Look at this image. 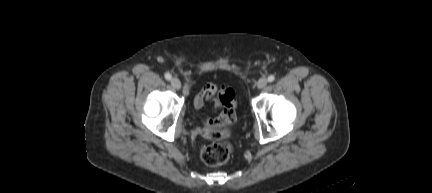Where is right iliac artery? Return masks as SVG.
Listing matches in <instances>:
<instances>
[{
	"mask_svg": "<svg viewBox=\"0 0 432 193\" xmlns=\"http://www.w3.org/2000/svg\"><path fill=\"white\" fill-rule=\"evenodd\" d=\"M165 78H166V80L170 81L171 78H172V76H171L170 73H166V74H165Z\"/></svg>",
	"mask_w": 432,
	"mask_h": 193,
	"instance_id": "obj_1",
	"label": "right iliac artery"
}]
</instances>
